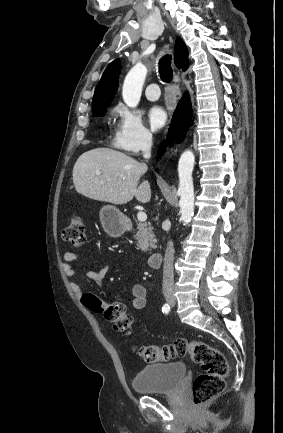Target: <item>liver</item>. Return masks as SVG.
Returning a JSON list of instances; mask_svg holds the SVG:
<instances>
[{
    "mask_svg": "<svg viewBox=\"0 0 283 433\" xmlns=\"http://www.w3.org/2000/svg\"><path fill=\"white\" fill-rule=\"evenodd\" d=\"M147 168L145 162H137L120 150L93 148L77 158L73 184L77 192L94 200L125 204L135 196L139 202H149L150 182L143 180L139 184ZM96 170L101 174H96Z\"/></svg>",
    "mask_w": 283,
    "mask_h": 433,
    "instance_id": "liver-1",
    "label": "liver"
}]
</instances>
